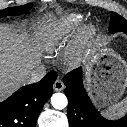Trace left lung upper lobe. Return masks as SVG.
Masks as SVG:
<instances>
[{
  "instance_id": "5c2ea615",
  "label": "left lung upper lobe",
  "mask_w": 127,
  "mask_h": 127,
  "mask_svg": "<svg viewBox=\"0 0 127 127\" xmlns=\"http://www.w3.org/2000/svg\"><path fill=\"white\" fill-rule=\"evenodd\" d=\"M109 31L110 33L127 32V20L117 13L112 12Z\"/></svg>"
}]
</instances>
